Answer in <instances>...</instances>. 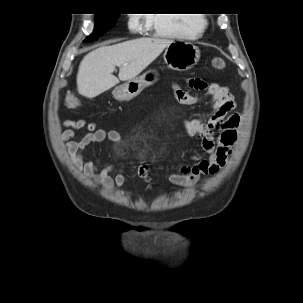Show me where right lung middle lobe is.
<instances>
[{
    "label": "right lung middle lobe",
    "mask_w": 303,
    "mask_h": 303,
    "mask_svg": "<svg viewBox=\"0 0 303 303\" xmlns=\"http://www.w3.org/2000/svg\"><path fill=\"white\" fill-rule=\"evenodd\" d=\"M118 15L119 14H96L94 32L88 36L84 42L94 41L110 30L115 25Z\"/></svg>",
    "instance_id": "right-lung-middle-lobe-1"
}]
</instances>
